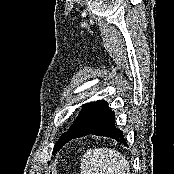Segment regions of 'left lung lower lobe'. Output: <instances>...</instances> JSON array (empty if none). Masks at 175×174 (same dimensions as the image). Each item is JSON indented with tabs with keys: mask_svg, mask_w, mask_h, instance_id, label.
Masks as SVG:
<instances>
[{
	"mask_svg": "<svg viewBox=\"0 0 175 174\" xmlns=\"http://www.w3.org/2000/svg\"><path fill=\"white\" fill-rule=\"evenodd\" d=\"M89 134L114 138L125 144L123 132L115 127V113L104 100L90 102L82 106V110L69 130L64 133L63 146L74 138Z\"/></svg>",
	"mask_w": 175,
	"mask_h": 174,
	"instance_id": "obj_1",
	"label": "left lung lower lobe"
}]
</instances>
